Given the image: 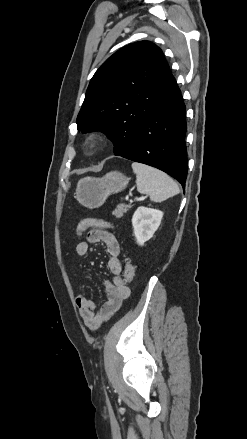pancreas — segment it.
<instances>
[{
  "label": "pancreas",
  "instance_id": "pancreas-1",
  "mask_svg": "<svg viewBox=\"0 0 247 439\" xmlns=\"http://www.w3.org/2000/svg\"><path fill=\"white\" fill-rule=\"evenodd\" d=\"M129 208H131V205L119 204L112 214L116 216V218H121Z\"/></svg>",
  "mask_w": 247,
  "mask_h": 439
}]
</instances>
